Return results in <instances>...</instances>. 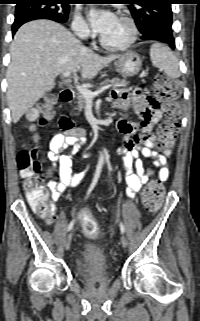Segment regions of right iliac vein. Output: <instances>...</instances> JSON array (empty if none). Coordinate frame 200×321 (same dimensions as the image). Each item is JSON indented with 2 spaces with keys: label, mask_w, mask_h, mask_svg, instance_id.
<instances>
[{
  "label": "right iliac vein",
  "mask_w": 200,
  "mask_h": 321,
  "mask_svg": "<svg viewBox=\"0 0 200 321\" xmlns=\"http://www.w3.org/2000/svg\"><path fill=\"white\" fill-rule=\"evenodd\" d=\"M71 240H72V234H68L66 239H65V243H64V247L66 250H68L70 248L71 245Z\"/></svg>",
  "instance_id": "obj_1"
}]
</instances>
